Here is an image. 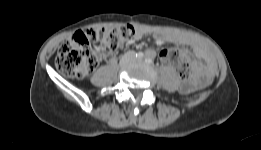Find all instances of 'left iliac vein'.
<instances>
[{"instance_id": "obj_1", "label": "left iliac vein", "mask_w": 261, "mask_h": 150, "mask_svg": "<svg viewBox=\"0 0 261 150\" xmlns=\"http://www.w3.org/2000/svg\"><path fill=\"white\" fill-rule=\"evenodd\" d=\"M139 61H143V59H139Z\"/></svg>"}]
</instances>
